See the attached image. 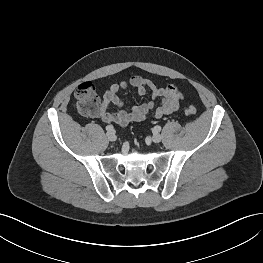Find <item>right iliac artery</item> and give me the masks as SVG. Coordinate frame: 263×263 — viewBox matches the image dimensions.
Returning a JSON list of instances; mask_svg holds the SVG:
<instances>
[{
    "label": "right iliac artery",
    "mask_w": 263,
    "mask_h": 263,
    "mask_svg": "<svg viewBox=\"0 0 263 263\" xmlns=\"http://www.w3.org/2000/svg\"><path fill=\"white\" fill-rule=\"evenodd\" d=\"M106 130L108 132L114 131V127L112 125H108V126H106Z\"/></svg>",
    "instance_id": "82829eb1"
}]
</instances>
